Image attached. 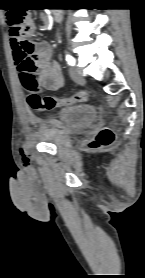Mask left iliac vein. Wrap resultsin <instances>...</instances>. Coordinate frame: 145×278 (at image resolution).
Wrapping results in <instances>:
<instances>
[{
  "label": "left iliac vein",
  "instance_id": "4c4485c4",
  "mask_svg": "<svg viewBox=\"0 0 145 278\" xmlns=\"http://www.w3.org/2000/svg\"><path fill=\"white\" fill-rule=\"evenodd\" d=\"M70 75L72 79L76 82H82L84 81V76L82 74V70L80 68H70Z\"/></svg>",
  "mask_w": 145,
  "mask_h": 278
}]
</instances>
